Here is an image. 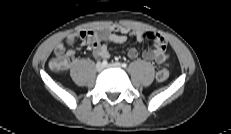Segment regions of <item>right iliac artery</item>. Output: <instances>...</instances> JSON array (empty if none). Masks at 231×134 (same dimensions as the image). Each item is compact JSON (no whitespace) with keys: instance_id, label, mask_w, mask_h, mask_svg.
Listing matches in <instances>:
<instances>
[{"instance_id":"82829eb1","label":"right iliac artery","mask_w":231,"mask_h":134,"mask_svg":"<svg viewBox=\"0 0 231 134\" xmlns=\"http://www.w3.org/2000/svg\"><path fill=\"white\" fill-rule=\"evenodd\" d=\"M107 64H108V62H107L106 60H103V61H102V65H103V66H106Z\"/></svg>"}]
</instances>
